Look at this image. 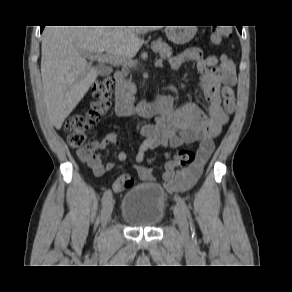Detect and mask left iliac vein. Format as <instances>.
<instances>
[{
  "mask_svg": "<svg viewBox=\"0 0 292 292\" xmlns=\"http://www.w3.org/2000/svg\"><path fill=\"white\" fill-rule=\"evenodd\" d=\"M174 217L183 238L189 234L188 222L184 211L178 206H174Z\"/></svg>",
  "mask_w": 292,
  "mask_h": 292,
  "instance_id": "left-iliac-vein-1",
  "label": "left iliac vein"
}]
</instances>
